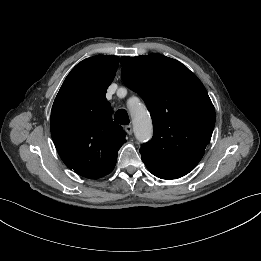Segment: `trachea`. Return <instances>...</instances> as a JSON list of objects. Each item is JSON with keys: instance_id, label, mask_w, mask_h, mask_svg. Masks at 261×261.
I'll use <instances>...</instances> for the list:
<instances>
[{"instance_id": "obj_1", "label": "trachea", "mask_w": 261, "mask_h": 261, "mask_svg": "<svg viewBox=\"0 0 261 261\" xmlns=\"http://www.w3.org/2000/svg\"><path fill=\"white\" fill-rule=\"evenodd\" d=\"M114 121L121 125H128L129 124V116L125 109H119L114 116Z\"/></svg>"}]
</instances>
